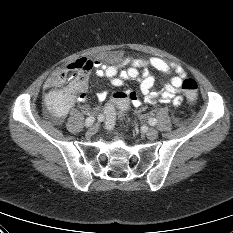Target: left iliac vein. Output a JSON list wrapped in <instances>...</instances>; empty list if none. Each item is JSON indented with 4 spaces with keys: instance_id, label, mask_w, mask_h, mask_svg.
<instances>
[{
    "instance_id": "1",
    "label": "left iliac vein",
    "mask_w": 233,
    "mask_h": 233,
    "mask_svg": "<svg viewBox=\"0 0 233 233\" xmlns=\"http://www.w3.org/2000/svg\"><path fill=\"white\" fill-rule=\"evenodd\" d=\"M145 133L149 140H155L158 137V131L154 128L146 130Z\"/></svg>"
}]
</instances>
